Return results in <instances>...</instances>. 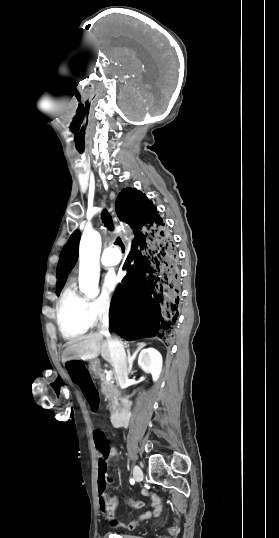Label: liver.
Masks as SVG:
<instances>
[{"mask_svg":"<svg viewBox=\"0 0 279 538\" xmlns=\"http://www.w3.org/2000/svg\"><path fill=\"white\" fill-rule=\"evenodd\" d=\"M67 346L65 354H69L68 360H94L101 354L106 362H110V350L103 334H88L82 340L67 342Z\"/></svg>","mask_w":279,"mask_h":538,"instance_id":"6515ba94","label":"liver"}]
</instances>
